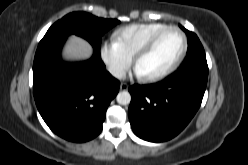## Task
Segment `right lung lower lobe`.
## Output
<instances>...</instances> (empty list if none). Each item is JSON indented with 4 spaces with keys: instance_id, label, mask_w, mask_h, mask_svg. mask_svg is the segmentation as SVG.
<instances>
[{
    "instance_id": "right-lung-lower-lobe-1",
    "label": "right lung lower lobe",
    "mask_w": 248,
    "mask_h": 165,
    "mask_svg": "<svg viewBox=\"0 0 248 165\" xmlns=\"http://www.w3.org/2000/svg\"><path fill=\"white\" fill-rule=\"evenodd\" d=\"M65 40L39 44L33 63V93L40 115L55 134L85 142L102 131L120 82L106 71L95 50L85 62L63 63L60 50Z\"/></svg>"
}]
</instances>
